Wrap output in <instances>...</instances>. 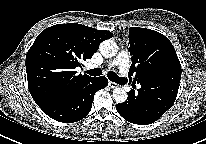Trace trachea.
Returning <instances> with one entry per match:
<instances>
[{
    "mask_svg": "<svg viewBox=\"0 0 206 144\" xmlns=\"http://www.w3.org/2000/svg\"><path fill=\"white\" fill-rule=\"evenodd\" d=\"M86 73H88L91 76L96 77V76L102 75V70L100 68H94V69H90L86 71ZM108 79L116 83H120L122 81V78L118 77V75L112 71L108 72Z\"/></svg>",
    "mask_w": 206,
    "mask_h": 144,
    "instance_id": "obj_1",
    "label": "trachea"
}]
</instances>
